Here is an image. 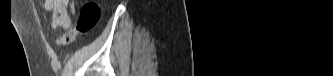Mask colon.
<instances>
[{"instance_id":"colon-1","label":"colon","mask_w":333,"mask_h":76,"mask_svg":"<svg viewBox=\"0 0 333 76\" xmlns=\"http://www.w3.org/2000/svg\"><path fill=\"white\" fill-rule=\"evenodd\" d=\"M100 17V9L97 3L88 1L81 7L75 27L69 30L62 37L60 43L68 45L77 35H84L90 32L97 24Z\"/></svg>"}]
</instances>
